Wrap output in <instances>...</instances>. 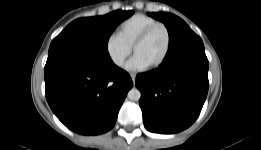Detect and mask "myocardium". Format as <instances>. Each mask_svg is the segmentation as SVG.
<instances>
[{
	"instance_id": "myocardium-1",
	"label": "myocardium",
	"mask_w": 261,
	"mask_h": 150,
	"mask_svg": "<svg viewBox=\"0 0 261 150\" xmlns=\"http://www.w3.org/2000/svg\"><path fill=\"white\" fill-rule=\"evenodd\" d=\"M158 28H162L165 31L166 37H167V45H166V49H165V52L162 55V57L157 62L150 65V68H152V69H156V68L160 67L161 65H163L170 54L172 38H171V32H170L169 28L164 23H161V22L155 23V24L149 26L148 28H146L138 36V38L135 40V42L132 46L133 52L135 53L138 46L141 45L143 42H145L149 38V36Z\"/></svg>"
}]
</instances>
